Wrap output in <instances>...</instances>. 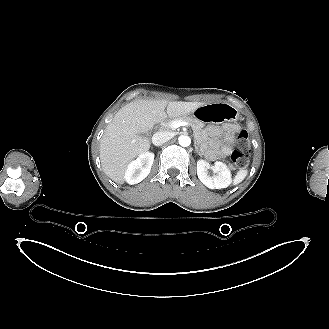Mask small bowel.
Wrapping results in <instances>:
<instances>
[{"mask_svg":"<svg viewBox=\"0 0 329 329\" xmlns=\"http://www.w3.org/2000/svg\"><path fill=\"white\" fill-rule=\"evenodd\" d=\"M239 131L240 127L238 125H230L225 128L210 126L207 129V134L209 136L211 157L217 159L230 155Z\"/></svg>","mask_w":329,"mask_h":329,"instance_id":"small-bowel-1","label":"small bowel"}]
</instances>
